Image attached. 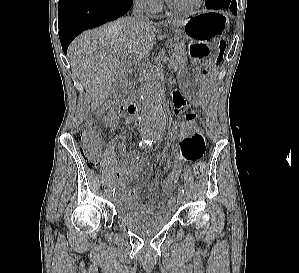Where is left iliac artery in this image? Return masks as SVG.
Segmentation results:
<instances>
[{
    "label": "left iliac artery",
    "instance_id": "44dca946",
    "mask_svg": "<svg viewBox=\"0 0 299 273\" xmlns=\"http://www.w3.org/2000/svg\"><path fill=\"white\" fill-rule=\"evenodd\" d=\"M179 192L184 194V189L181 186L179 187Z\"/></svg>",
    "mask_w": 299,
    "mask_h": 273
}]
</instances>
